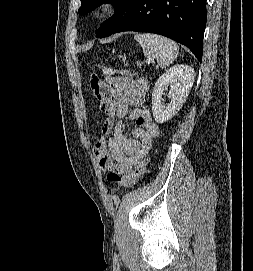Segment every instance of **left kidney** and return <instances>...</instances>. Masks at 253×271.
I'll return each mask as SVG.
<instances>
[{
    "label": "left kidney",
    "instance_id": "obj_1",
    "mask_svg": "<svg viewBox=\"0 0 253 271\" xmlns=\"http://www.w3.org/2000/svg\"><path fill=\"white\" fill-rule=\"evenodd\" d=\"M195 75L192 67L175 65L159 77L152 93V113L157 123L170 120L182 108L193 86ZM168 87V97L171 100L164 105L162 95Z\"/></svg>",
    "mask_w": 253,
    "mask_h": 271
}]
</instances>
